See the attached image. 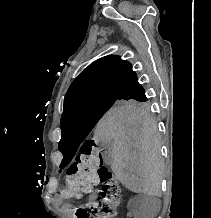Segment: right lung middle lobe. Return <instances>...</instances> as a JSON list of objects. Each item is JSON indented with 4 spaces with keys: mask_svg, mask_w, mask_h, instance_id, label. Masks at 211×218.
<instances>
[{
    "mask_svg": "<svg viewBox=\"0 0 211 218\" xmlns=\"http://www.w3.org/2000/svg\"><path fill=\"white\" fill-rule=\"evenodd\" d=\"M147 98L92 99L63 111L60 143L79 145L109 109H147Z\"/></svg>",
    "mask_w": 211,
    "mask_h": 218,
    "instance_id": "1",
    "label": "right lung middle lobe"
}]
</instances>
